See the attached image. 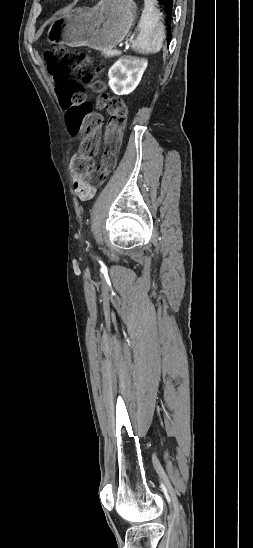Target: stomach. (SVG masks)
Instances as JSON below:
<instances>
[{"mask_svg":"<svg viewBox=\"0 0 253 548\" xmlns=\"http://www.w3.org/2000/svg\"><path fill=\"white\" fill-rule=\"evenodd\" d=\"M136 13L133 0H100L93 8H76L60 16L50 27V39L104 54L125 38Z\"/></svg>","mask_w":253,"mask_h":548,"instance_id":"1","label":"stomach"}]
</instances>
